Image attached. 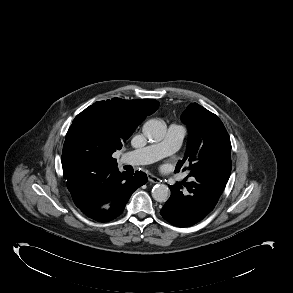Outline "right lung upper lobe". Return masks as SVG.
<instances>
[{
  "mask_svg": "<svg viewBox=\"0 0 293 293\" xmlns=\"http://www.w3.org/2000/svg\"><path fill=\"white\" fill-rule=\"evenodd\" d=\"M159 102L153 99L99 101L75 117L70 126L62 153L63 174L70 191L90 172L99 168L116 167L112 154L122 148L146 116L153 114ZM97 150L105 156L103 164L85 168L81 156ZM96 207L103 208L99 204Z\"/></svg>",
  "mask_w": 293,
  "mask_h": 293,
  "instance_id": "obj_1",
  "label": "right lung upper lobe"
}]
</instances>
